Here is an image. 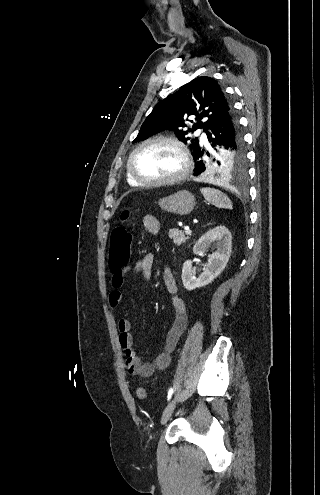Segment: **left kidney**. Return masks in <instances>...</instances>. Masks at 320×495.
<instances>
[{"label": "left kidney", "mask_w": 320, "mask_h": 495, "mask_svg": "<svg viewBox=\"0 0 320 495\" xmlns=\"http://www.w3.org/2000/svg\"><path fill=\"white\" fill-rule=\"evenodd\" d=\"M232 236L225 226L216 227L203 235L193 247L194 254H204L210 247L216 251L208 255L206 268L199 277L192 271V261L187 260L182 268V282L187 290L210 284L226 267L232 251Z\"/></svg>", "instance_id": "left-kidney-1"}]
</instances>
